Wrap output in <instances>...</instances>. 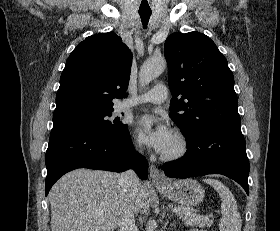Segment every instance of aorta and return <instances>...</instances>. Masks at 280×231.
Masks as SVG:
<instances>
[{"label": "aorta", "mask_w": 280, "mask_h": 231, "mask_svg": "<svg viewBox=\"0 0 280 231\" xmlns=\"http://www.w3.org/2000/svg\"><path fill=\"white\" fill-rule=\"evenodd\" d=\"M166 62L163 60V58H160V60H147L143 66L140 68V82L143 84V86H146V84H149V82H152V80H155V78H158L164 70H166ZM146 129H150L151 123H145ZM154 227H156V221H149L146 225V231H153Z\"/></svg>", "instance_id": "762f6f07"}]
</instances>
